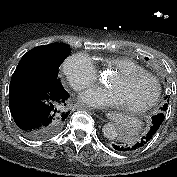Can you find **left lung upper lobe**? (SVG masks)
<instances>
[{"label":"left lung upper lobe","instance_id":"5c2ea615","mask_svg":"<svg viewBox=\"0 0 177 177\" xmlns=\"http://www.w3.org/2000/svg\"><path fill=\"white\" fill-rule=\"evenodd\" d=\"M168 105L164 104L163 108H161V112H164L167 109Z\"/></svg>","mask_w":177,"mask_h":177}]
</instances>
